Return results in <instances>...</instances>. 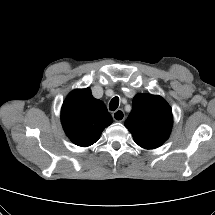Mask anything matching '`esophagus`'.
I'll use <instances>...</instances> for the list:
<instances>
[{
  "mask_svg": "<svg viewBox=\"0 0 215 215\" xmlns=\"http://www.w3.org/2000/svg\"><path fill=\"white\" fill-rule=\"evenodd\" d=\"M112 117L115 121L122 122L125 119V113L122 109H118L112 114Z\"/></svg>",
  "mask_w": 215,
  "mask_h": 215,
  "instance_id": "obj_1",
  "label": "esophagus"
}]
</instances>
